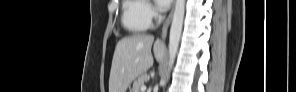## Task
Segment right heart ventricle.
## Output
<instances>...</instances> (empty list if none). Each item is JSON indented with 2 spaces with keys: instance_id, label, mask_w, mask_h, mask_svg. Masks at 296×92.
<instances>
[{
  "instance_id": "right-heart-ventricle-1",
  "label": "right heart ventricle",
  "mask_w": 296,
  "mask_h": 92,
  "mask_svg": "<svg viewBox=\"0 0 296 92\" xmlns=\"http://www.w3.org/2000/svg\"><path fill=\"white\" fill-rule=\"evenodd\" d=\"M144 1L126 0L123 2L122 25L131 33H141L148 29L149 22L143 16Z\"/></svg>"
}]
</instances>
